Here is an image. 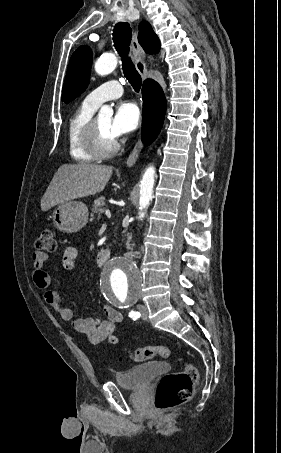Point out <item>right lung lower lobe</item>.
Here are the masks:
<instances>
[{
	"instance_id": "98d812e1",
	"label": "right lung lower lobe",
	"mask_w": 281,
	"mask_h": 453,
	"mask_svg": "<svg viewBox=\"0 0 281 453\" xmlns=\"http://www.w3.org/2000/svg\"><path fill=\"white\" fill-rule=\"evenodd\" d=\"M142 97V141L149 145L156 139L162 128L166 111V99L160 85L153 80L144 82Z\"/></svg>"
}]
</instances>
